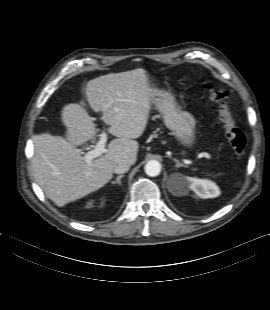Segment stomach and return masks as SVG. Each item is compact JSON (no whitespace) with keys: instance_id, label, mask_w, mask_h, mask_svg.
I'll return each mask as SVG.
<instances>
[{"instance_id":"1","label":"stomach","mask_w":270,"mask_h":310,"mask_svg":"<svg viewBox=\"0 0 270 310\" xmlns=\"http://www.w3.org/2000/svg\"><path fill=\"white\" fill-rule=\"evenodd\" d=\"M151 101L163 116L166 127L172 131L179 144L192 148L196 143L194 116L181 110L174 98L165 91L153 89Z\"/></svg>"}]
</instances>
